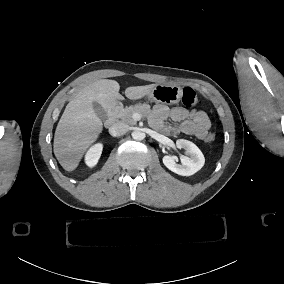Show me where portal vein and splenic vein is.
Instances as JSON below:
<instances>
[{
    "mask_svg": "<svg viewBox=\"0 0 284 284\" xmlns=\"http://www.w3.org/2000/svg\"><path fill=\"white\" fill-rule=\"evenodd\" d=\"M132 118H133L135 121H138V120L141 119V115H140L139 113H134V114L132 115Z\"/></svg>",
    "mask_w": 284,
    "mask_h": 284,
    "instance_id": "1",
    "label": "portal vein and splenic vein"
}]
</instances>
